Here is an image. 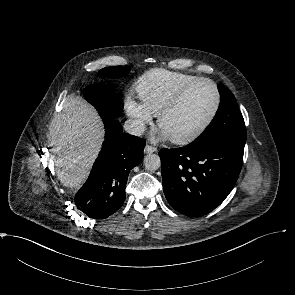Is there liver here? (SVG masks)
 I'll use <instances>...</instances> for the list:
<instances>
[{
	"label": "liver",
	"mask_w": 295,
	"mask_h": 295,
	"mask_svg": "<svg viewBox=\"0 0 295 295\" xmlns=\"http://www.w3.org/2000/svg\"><path fill=\"white\" fill-rule=\"evenodd\" d=\"M52 152L61 183L78 188L86 180L102 140V122L92 106L70 96L50 124Z\"/></svg>",
	"instance_id": "1"
}]
</instances>
